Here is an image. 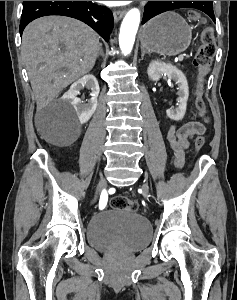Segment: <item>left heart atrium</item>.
I'll use <instances>...</instances> for the list:
<instances>
[{"label":"left heart atrium","mask_w":237,"mask_h":300,"mask_svg":"<svg viewBox=\"0 0 237 300\" xmlns=\"http://www.w3.org/2000/svg\"><path fill=\"white\" fill-rule=\"evenodd\" d=\"M102 2L108 6L115 7V6L128 4L130 1H102Z\"/></svg>","instance_id":"39dd6f15"}]
</instances>
